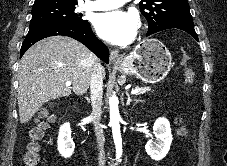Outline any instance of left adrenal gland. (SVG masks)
Listing matches in <instances>:
<instances>
[{
  "label": "left adrenal gland",
  "mask_w": 227,
  "mask_h": 166,
  "mask_svg": "<svg viewBox=\"0 0 227 166\" xmlns=\"http://www.w3.org/2000/svg\"><path fill=\"white\" fill-rule=\"evenodd\" d=\"M126 95H127V102H126V106H129L130 105V103H132V102H135V103H139V102H141V100L140 99H132L131 98V96H130V94L128 93V91L126 92Z\"/></svg>",
  "instance_id": "a2214340"
}]
</instances>
